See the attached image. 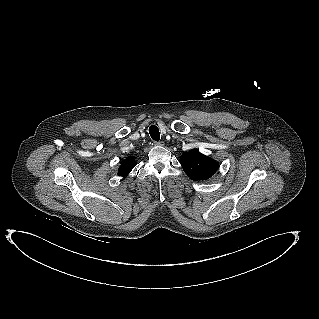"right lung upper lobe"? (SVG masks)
<instances>
[{
    "label": "right lung upper lobe",
    "mask_w": 319,
    "mask_h": 319,
    "mask_svg": "<svg viewBox=\"0 0 319 319\" xmlns=\"http://www.w3.org/2000/svg\"><path fill=\"white\" fill-rule=\"evenodd\" d=\"M135 158L134 157H128L126 160L122 162V165L119 168L118 174L119 176H126L129 174V172L133 169L135 164Z\"/></svg>",
    "instance_id": "right-lung-upper-lobe-1"
}]
</instances>
